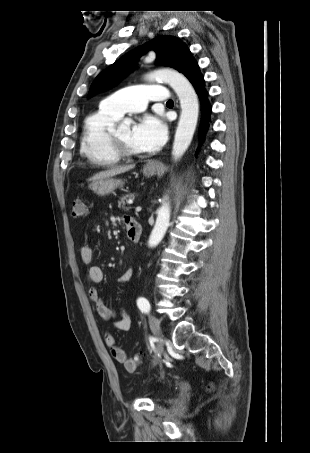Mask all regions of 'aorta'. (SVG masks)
Returning <instances> with one entry per match:
<instances>
[{"label": "aorta", "instance_id": "aorta-1", "mask_svg": "<svg viewBox=\"0 0 310 453\" xmlns=\"http://www.w3.org/2000/svg\"><path fill=\"white\" fill-rule=\"evenodd\" d=\"M147 79L150 81L161 80L168 83L179 98L181 115L172 148V156L175 160H178L188 149L196 129L199 114L197 94L187 78L173 69L156 70L148 74ZM130 122V119L123 121L124 124H130ZM165 200L157 211L156 223L148 241L150 247H155L161 242L169 226L170 204Z\"/></svg>", "mask_w": 310, "mask_h": 453}]
</instances>
